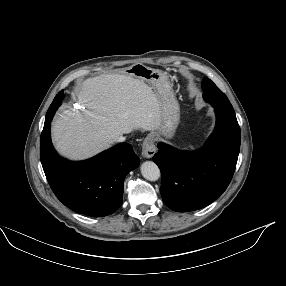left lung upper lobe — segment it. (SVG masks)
<instances>
[{
	"instance_id": "1",
	"label": "left lung upper lobe",
	"mask_w": 286,
	"mask_h": 286,
	"mask_svg": "<svg viewBox=\"0 0 286 286\" xmlns=\"http://www.w3.org/2000/svg\"><path fill=\"white\" fill-rule=\"evenodd\" d=\"M202 89L203 98L206 102L224 105L228 110L234 112L227 96L209 78H204Z\"/></svg>"
}]
</instances>
